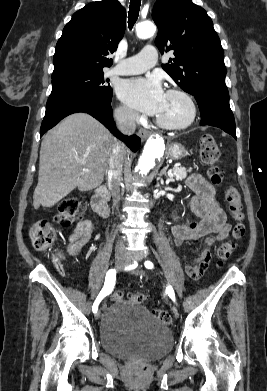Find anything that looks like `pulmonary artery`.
Masks as SVG:
<instances>
[{
  "mask_svg": "<svg viewBox=\"0 0 267 391\" xmlns=\"http://www.w3.org/2000/svg\"><path fill=\"white\" fill-rule=\"evenodd\" d=\"M157 58V49L152 45H147L137 55L121 60L111 70V73L115 75L139 74L153 67Z\"/></svg>",
  "mask_w": 267,
  "mask_h": 391,
  "instance_id": "obj_1",
  "label": "pulmonary artery"
}]
</instances>
